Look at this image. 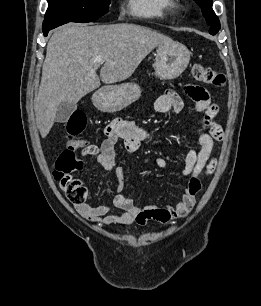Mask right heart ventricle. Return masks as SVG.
Returning <instances> with one entry per match:
<instances>
[{
    "instance_id": "1",
    "label": "right heart ventricle",
    "mask_w": 261,
    "mask_h": 306,
    "mask_svg": "<svg viewBox=\"0 0 261 306\" xmlns=\"http://www.w3.org/2000/svg\"><path fill=\"white\" fill-rule=\"evenodd\" d=\"M130 13L141 18H163L171 7V0H127Z\"/></svg>"
}]
</instances>
